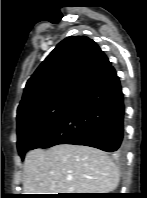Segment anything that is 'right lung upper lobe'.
Here are the masks:
<instances>
[{
  "label": "right lung upper lobe",
  "instance_id": "obj_1",
  "mask_svg": "<svg viewBox=\"0 0 147 198\" xmlns=\"http://www.w3.org/2000/svg\"><path fill=\"white\" fill-rule=\"evenodd\" d=\"M110 67L107 56L93 40L86 36L67 37L28 80L17 109V118L49 102L76 101Z\"/></svg>",
  "mask_w": 147,
  "mask_h": 198
}]
</instances>
